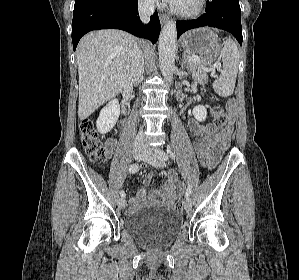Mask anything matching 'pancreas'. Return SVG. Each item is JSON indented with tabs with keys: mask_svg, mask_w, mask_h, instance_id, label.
<instances>
[{
	"mask_svg": "<svg viewBox=\"0 0 299 280\" xmlns=\"http://www.w3.org/2000/svg\"><path fill=\"white\" fill-rule=\"evenodd\" d=\"M188 70L192 73L195 83L204 85L208 82V75L203 70L201 62H188Z\"/></svg>",
	"mask_w": 299,
	"mask_h": 280,
	"instance_id": "pancreas-1",
	"label": "pancreas"
}]
</instances>
